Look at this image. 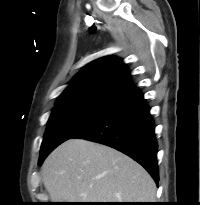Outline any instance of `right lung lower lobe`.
<instances>
[{
    "label": "right lung lower lobe",
    "mask_w": 200,
    "mask_h": 205,
    "mask_svg": "<svg viewBox=\"0 0 200 205\" xmlns=\"http://www.w3.org/2000/svg\"><path fill=\"white\" fill-rule=\"evenodd\" d=\"M71 138L91 140L125 153L142 165L158 184L154 122L138 88L126 92L106 112Z\"/></svg>",
    "instance_id": "obj_1"
}]
</instances>
